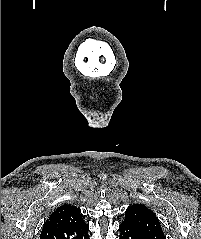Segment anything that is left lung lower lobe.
<instances>
[{
    "mask_svg": "<svg viewBox=\"0 0 201 239\" xmlns=\"http://www.w3.org/2000/svg\"><path fill=\"white\" fill-rule=\"evenodd\" d=\"M119 230L121 234L120 239H150L147 235L126 223H121Z\"/></svg>",
    "mask_w": 201,
    "mask_h": 239,
    "instance_id": "0a47b994",
    "label": "left lung lower lobe"
}]
</instances>
